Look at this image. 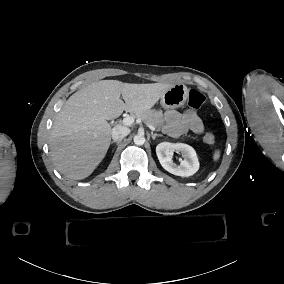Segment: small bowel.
<instances>
[{
	"instance_id": "1",
	"label": "small bowel",
	"mask_w": 284,
	"mask_h": 284,
	"mask_svg": "<svg viewBox=\"0 0 284 284\" xmlns=\"http://www.w3.org/2000/svg\"><path fill=\"white\" fill-rule=\"evenodd\" d=\"M164 119L166 121V132L170 136L177 137L188 131L200 134L204 130L201 119L192 110H167L164 112Z\"/></svg>"
}]
</instances>
